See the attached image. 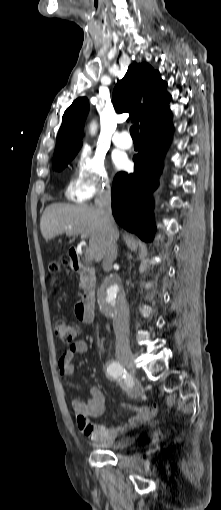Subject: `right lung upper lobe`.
<instances>
[{"mask_svg": "<svg viewBox=\"0 0 221 510\" xmlns=\"http://www.w3.org/2000/svg\"><path fill=\"white\" fill-rule=\"evenodd\" d=\"M167 83L148 63H132L113 91V104L118 113L129 112L131 122H140L141 130L172 117L171 95ZM89 110L87 98L76 99L64 112L58 132L54 157L81 147L83 124Z\"/></svg>", "mask_w": 221, "mask_h": 510, "instance_id": "1", "label": "right lung upper lobe"}]
</instances>
